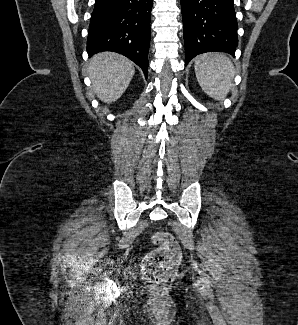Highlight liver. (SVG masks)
Masks as SVG:
<instances>
[{"label":"liver","mask_w":298,"mask_h":325,"mask_svg":"<svg viewBox=\"0 0 298 325\" xmlns=\"http://www.w3.org/2000/svg\"><path fill=\"white\" fill-rule=\"evenodd\" d=\"M135 72L132 60L117 52H99L90 58L88 74L99 100L115 102L125 92Z\"/></svg>","instance_id":"liver-1"}]
</instances>
